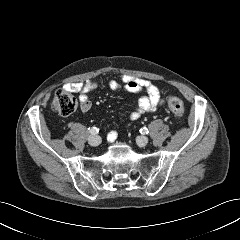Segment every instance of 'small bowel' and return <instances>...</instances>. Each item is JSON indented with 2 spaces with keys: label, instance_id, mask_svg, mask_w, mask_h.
Listing matches in <instances>:
<instances>
[{
  "label": "small bowel",
  "instance_id": "1",
  "mask_svg": "<svg viewBox=\"0 0 240 240\" xmlns=\"http://www.w3.org/2000/svg\"><path fill=\"white\" fill-rule=\"evenodd\" d=\"M108 86L114 91H127L132 93H142L138 99L137 105L131 110L129 119L131 122L137 121L142 115L153 112L163 103L161 92L157 86L144 78L132 76H122L121 81L111 79ZM100 86L98 80L89 79L84 82L71 83L67 89L79 94L80 107L82 112H88L91 109L90 94ZM117 137L116 131L108 133V140L113 142Z\"/></svg>",
  "mask_w": 240,
  "mask_h": 240
}]
</instances>
